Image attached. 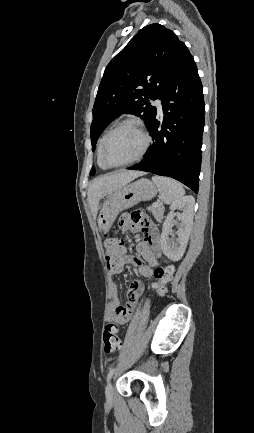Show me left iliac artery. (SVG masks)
Listing matches in <instances>:
<instances>
[{
    "mask_svg": "<svg viewBox=\"0 0 254 433\" xmlns=\"http://www.w3.org/2000/svg\"><path fill=\"white\" fill-rule=\"evenodd\" d=\"M114 371H115V368H114V367L111 368V369L109 370L108 375H107V381L110 380V378L112 377Z\"/></svg>",
    "mask_w": 254,
    "mask_h": 433,
    "instance_id": "left-iliac-artery-1",
    "label": "left iliac artery"
}]
</instances>
